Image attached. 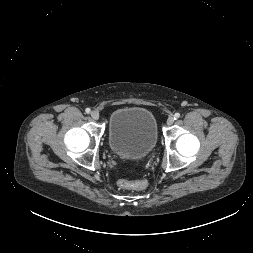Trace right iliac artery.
Masks as SVG:
<instances>
[{
  "mask_svg": "<svg viewBox=\"0 0 253 253\" xmlns=\"http://www.w3.org/2000/svg\"><path fill=\"white\" fill-rule=\"evenodd\" d=\"M85 111H86L87 114H89L91 110H90V108H86Z\"/></svg>",
  "mask_w": 253,
  "mask_h": 253,
  "instance_id": "right-iliac-artery-1",
  "label": "right iliac artery"
}]
</instances>
